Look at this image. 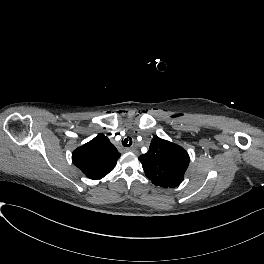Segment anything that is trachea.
Listing matches in <instances>:
<instances>
[{
	"mask_svg": "<svg viewBox=\"0 0 264 264\" xmlns=\"http://www.w3.org/2000/svg\"><path fill=\"white\" fill-rule=\"evenodd\" d=\"M132 138L131 137H127L122 141V145L125 147H130L132 145Z\"/></svg>",
	"mask_w": 264,
	"mask_h": 264,
	"instance_id": "trachea-1",
	"label": "trachea"
}]
</instances>
